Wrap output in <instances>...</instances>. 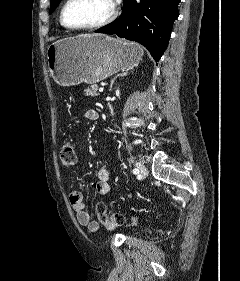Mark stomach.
Segmentation results:
<instances>
[{
  "label": "stomach",
  "mask_w": 240,
  "mask_h": 281,
  "mask_svg": "<svg viewBox=\"0 0 240 281\" xmlns=\"http://www.w3.org/2000/svg\"><path fill=\"white\" fill-rule=\"evenodd\" d=\"M143 54V48L134 42L105 35H79L52 43L47 49V64L59 85L94 84L134 68Z\"/></svg>",
  "instance_id": "obj_1"
}]
</instances>
